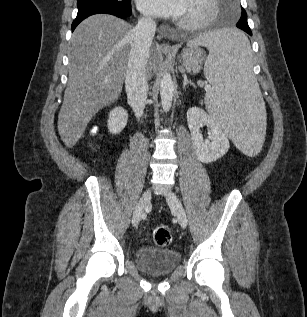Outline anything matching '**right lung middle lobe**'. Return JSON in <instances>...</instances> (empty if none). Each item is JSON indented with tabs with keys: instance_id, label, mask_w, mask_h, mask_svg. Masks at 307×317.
Instances as JSON below:
<instances>
[{
	"instance_id": "1",
	"label": "right lung middle lobe",
	"mask_w": 307,
	"mask_h": 317,
	"mask_svg": "<svg viewBox=\"0 0 307 317\" xmlns=\"http://www.w3.org/2000/svg\"><path fill=\"white\" fill-rule=\"evenodd\" d=\"M131 3L130 0H78L77 7H82L90 4H102L115 8H121Z\"/></svg>"
}]
</instances>
